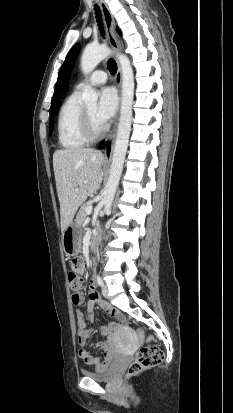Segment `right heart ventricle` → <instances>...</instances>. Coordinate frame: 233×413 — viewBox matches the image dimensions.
I'll list each match as a JSON object with an SVG mask.
<instances>
[{
    "label": "right heart ventricle",
    "instance_id": "obj_1",
    "mask_svg": "<svg viewBox=\"0 0 233 413\" xmlns=\"http://www.w3.org/2000/svg\"><path fill=\"white\" fill-rule=\"evenodd\" d=\"M82 110L79 91L74 90L63 102L57 120L58 142L65 150H77L89 142L81 131Z\"/></svg>",
    "mask_w": 233,
    "mask_h": 413
}]
</instances>
